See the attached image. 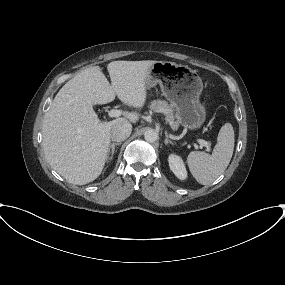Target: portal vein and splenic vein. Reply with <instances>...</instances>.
I'll return each instance as SVG.
<instances>
[{"label":"portal vein and splenic vein","mask_w":285,"mask_h":285,"mask_svg":"<svg viewBox=\"0 0 285 285\" xmlns=\"http://www.w3.org/2000/svg\"><path fill=\"white\" fill-rule=\"evenodd\" d=\"M122 111L118 110V109H112L109 111L108 115L110 118H114V117H119L121 116ZM198 143L200 144L201 147H206L207 150H210V143H208L207 141L203 140V139H199Z\"/></svg>","instance_id":"portal-vein-and-splenic-vein-1"}]
</instances>
